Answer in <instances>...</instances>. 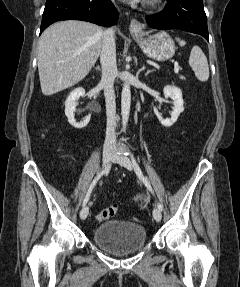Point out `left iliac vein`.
Returning <instances> with one entry per match:
<instances>
[{
  "instance_id": "1",
  "label": "left iliac vein",
  "mask_w": 240,
  "mask_h": 287,
  "mask_svg": "<svg viewBox=\"0 0 240 287\" xmlns=\"http://www.w3.org/2000/svg\"><path fill=\"white\" fill-rule=\"evenodd\" d=\"M112 161L120 164L121 166L127 168L128 170L133 169V165H132L130 159L127 156H125L124 154H114L112 156ZM153 217L157 222L161 221L162 214L158 208H154Z\"/></svg>"
}]
</instances>
